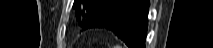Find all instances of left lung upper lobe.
<instances>
[{
  "label": "left lung upper lobe",
  "mask_w": 213,
  "mask_h": 48,
  "mask_svg": "<svg viewBox=\"0 0 213 48\" xmlns=\"http://www.w3.org/2000/svg\"><path fill=\"white\" fill-rule=\"evenodd\" d=\"M112 0H75L74 8L79 24L83 27L90 18Z\"/></svg>",
  "instance_id": "5c2ea615"
}]
</instances>
